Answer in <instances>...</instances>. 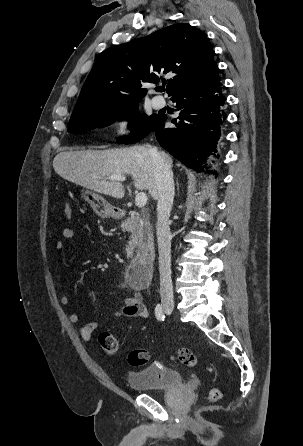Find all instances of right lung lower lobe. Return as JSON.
Here are the masks:
<instances>
[{"instance_id":"right-lung-lower-lobe-1","label":"right lung lower lobe","mask_w":303,"mask_h":446,"mask_svg":"<svg viewBox=\"0 0 303 446\" xmlns=\"http://www.w3.org/2000/svg\"><path fill=\"white\" fill-rule=\"evenodd\" d=\"M180 110L174 128H164L166 115H161L153 132L160 145L184 165L203 169L220 137V125L226 119V97L217 76L211 81L194 85L171 97Z\"/></svg>"}]
</instances>
